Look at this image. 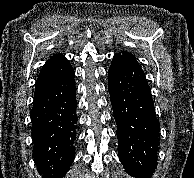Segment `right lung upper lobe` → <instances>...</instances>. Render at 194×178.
<instances>
[{
	"label": "right lung upper lobe",
	"mask_w": 194,
	"mask_h": 178,
	"mask_svg": "<svg viewBox=\"0 0 194 178\" xmlns=\"http://www.w3.org/2000/svg\"><path fill=\"white\" fill-rule=\"evenodd\" d=\"M71 69L72 67L70 63L63 55H53L47 60V62L42 67L36 80V84L55 80L66 74Z\"/></svg>",
	"instance_id": "right-lung-upper-lobe-1"
}]
</instances>
